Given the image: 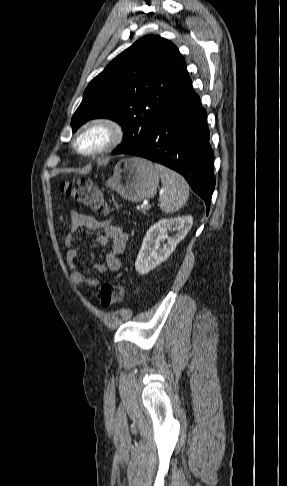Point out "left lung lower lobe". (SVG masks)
Here are the masks:
<instances>
[{"label": "left lung lower lobe", "instance_id": "obj_1", "mask_svg": "<svg viewBox=\"0 0 287 486\" xmlns=\"http://www.w3.org/2000/svg\"><path fill=\"white\" fill-rule=\"evenodd\" d=\"M147 158L182 174L209 210L215 187L214 154L209 143L207 114L192 81L155 122L145 141L123 152Z\"/></svg>", "mask_w": 287, "mask_h": 486}]
</instances>
